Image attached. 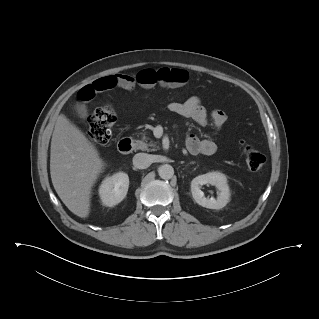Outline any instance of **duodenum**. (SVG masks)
<instances>
[{"instance_id": "410a0bca", "label": "duodenum", "mask_w": 319, "mask_h": 319, "mask_svg": "<svg viewBox=\"0 0 319 319\" xmlns=\"http://www.w3.org/2000/svg\"><path fill=\"white\" fill-rule=\"evenodd\" d=\"M134 142L130 138H123L118 143V150L122 154H126L133 149Z\"/></svg>"}]
</instances>
